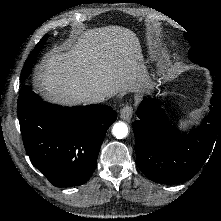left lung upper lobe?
<instances>
[{
	"label": "left lung upper lobe",
	"mask_w": 221,
	"mask_h": 221,
	"mask_svg": "<svg viewBox=\"0 0 221 221\" xmlns=\"http://www.w3.org/2000/svg\"><path fill=\"white\" fill-rule=\"evenodd\" d=\"M184 36L191 45V49L188 52L189 59L195 64H199L200 66H205L210 69L211 66L204 50L200 47V45L194 42L187 33H185Z\"/></svg>",
	"instance_id": "left-lung-upper-lobe-1"
}]
</instances>
